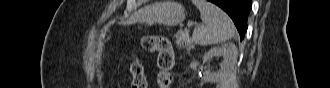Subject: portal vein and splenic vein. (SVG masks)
<instances>
[{
    "mask_svg": "<svg viewBox=\"0 0 330 88\" xmlns=\"http://www.w3.org/2000/svg\"><path fill=\"white\" fill-rule=\"evenodd\" d=\"M185 32H187V33H188V32H189V30H188L187 28H185Z\"/></svg>",
    "mask_w": 330,
    "mask_h": 88,
    "instance_id": "18ae733b",
    "label": "portal vein and splenic vein"
}]
</instances>
